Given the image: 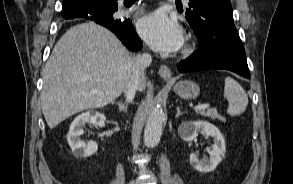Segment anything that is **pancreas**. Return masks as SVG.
Here are the masks:
<instances>
[{"label": "pancreas", "mask_w": 293, "mask_h": 184, "mask_svg": "<svg viewBox=\"0 0 293 184\" xmlns=\"http://www.w3.org/2000/svg\"><path fill=\"white\" fill-rule=\"evenodd\" d=\"M201 115L205 117H209L211 119H219L220 121H224V117L219 115L216 109H209L207 112H202Z\"/></svg>", "instance_id": "1"}]
</instances>
